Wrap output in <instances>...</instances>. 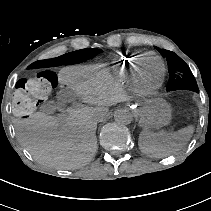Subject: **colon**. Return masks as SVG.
<instances>
[{"label": "colon", "instance_id": "colon-1", "mask_svg": "<svg viewBox=\"0 0 211 211\" xmlns=\"http://www.w3.org/2000/svg\"><path fill=\"white\" fill-rule=\"evenodd\" d=\"M57 83L56 73L50 70H42L29 79L19 80L12 100L14 115L20 119L30 117L38 110Z\"/></svg>", "mask_w": 211, "mask_h": 211}]
</instances>
